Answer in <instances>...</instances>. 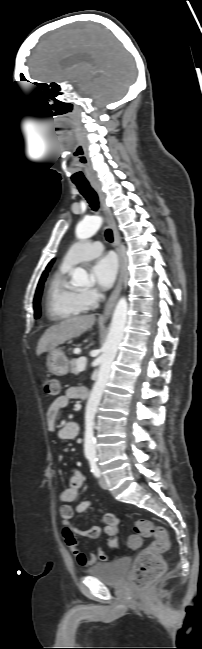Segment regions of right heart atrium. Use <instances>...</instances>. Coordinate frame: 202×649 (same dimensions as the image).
Here are the masks:
<instances>
[{
  "instance_id": "d8ad5b80",
  "label": "right heart atrium",
  "mask_w": 202,
  "mask_h": 649,
  "mask_svg": "<svg viewBox=\"0 0 202 649\" xmlns=\"http://www.w3.org/2000/svg\"><path fill=\"white\" fill-rule=\"evenodd\" d=\"M82 300L87 307H93L99 300L100 294L95 289H88L82 291Z\"/></svg>"
}]
</instances>
